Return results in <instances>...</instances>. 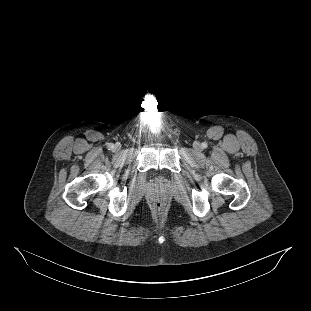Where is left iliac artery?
<instances>
[{"label": "left iliac artery", "mask_w": 311, "mask_h": 311, "mask_svg": "<svg viewBox=\"0 0 311 311\" xmlns=\"http://www.w3.org/2000/svg\"><path fill=\"white\" fill-rule=\"evenodd\" d=\"M202 147H203V148H206V147H207V143H206V142H203V143H202Z\"/></svg>", "instance_id": "obj_1"}]
</instances>
